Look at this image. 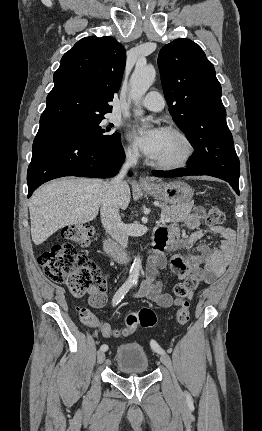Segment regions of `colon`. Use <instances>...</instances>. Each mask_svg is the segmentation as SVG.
Here are the masks:
<instances>
[{
	"instance_id": "obj_1",
	"label": "colon",
	"mask_w": 262,
	"mask_h": 431,
	"mask_svg": "<svg viewBox=\"0 0 262 431\" xmlns=\"http://www.w3.org/2000/svg\"><path fill=\"white\" fill-rule=\"evenodd\" d=\"M224 219V213L218 207H209L206 218L209 225H221ZM61 235L63 241L43 252L38 258V263L50 281L65 285L70 294L80 298L90 287L92 278L98 272L95 263L79 254L76 246L88 245L94 236V230L86 225H73L64 229ZM198 284L197 277L189 276L177 283L174 288L175 295L182 300L176 315L180 325L189 322V297ZM80 316L86 325L99 327L105 337H126L133 334L138 327L152 328L157 323L155 312L148 307L129 313L124 326L119 330H114L109 325L101 326L85 309L80 310Z\"/></svg>"
}]
</instances>
